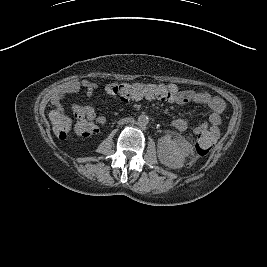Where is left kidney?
<instances>
[{
    "label": "left kidney",
    "mask_w": 267,
    "mask_h": 267,
    "mask_svg": "<svg viewBox=\"0 0 267 267\" xmlns=\"http://www.w3.org/2000/svg\"><path fill=\"white\" fill-rule=\"evenodd\" d=\"M157 154L159 161L170 169H180L185 163V152L168 136L158 140Z\"/></svg>",
    "instance_id": "1"
}]
</instances>
